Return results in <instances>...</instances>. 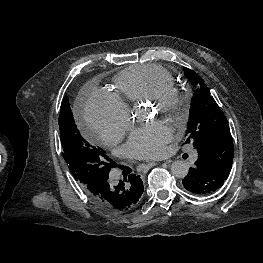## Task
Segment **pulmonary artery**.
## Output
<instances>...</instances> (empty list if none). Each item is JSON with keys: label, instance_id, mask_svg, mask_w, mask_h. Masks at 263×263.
Masks as SVG:
<instances>
[{"label": "pulmonary artery", "instance_id": "1", "mask_svg": "<svg viewBox=\"0 0 263 263\" xmlns=\"http://www.w3.org/2000/svg\"><path fill=\"white\" fill-rule=\"evenodd\" d=\"M197 152H193L192 153V156H191V159L194 161V160H196L197 159Z\"/></svg>", "mask_w": 263, "mask_h": 263}]
</instances>
